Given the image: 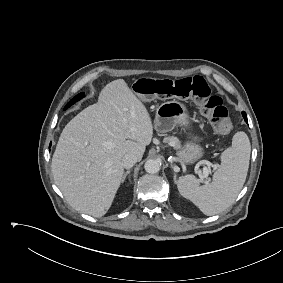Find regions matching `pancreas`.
Listing matches in <instances>:
<instances>
[{"label": "pancreas", "instance_id": "1", "mask_svg": "<svg viewBox=\"0 0 283 283\" xmlns=\"http://www.w3.org/2000/svg\"><path fill=\"white\" fill-rule=\"evenodd\" d=\"M164 142L170 143L176 149L180 148V141H179V139L177 137H174V136L166 137L164 139Z\"/></svg>", "mask_w": 283, "mask_h": 283}]
</instances>
